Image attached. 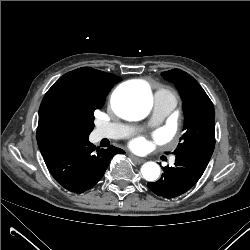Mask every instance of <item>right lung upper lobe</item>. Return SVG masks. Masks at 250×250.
I'll list each match as a JSON object with an SVG mask.
<instances>
[{"mask_svg":"<svg viewBox=\"0 0 250 250\" xmlns=\"http://www.w3.org/2000/svg\"><path fill=\"white\" fill-rule=\"evenodd\" d=\"M121 79L90 67L66 73L45 94L39 108L38 145L81 135L84 130L82 109L106 98Z\"/></svg>","mask_w":250,"mask_h":250,"instance_id":"right-lung-upper-lobe-1","label":"right lung upper lobe"}]
</instances>
